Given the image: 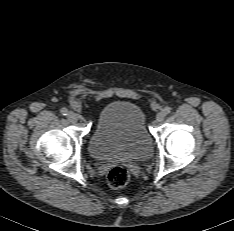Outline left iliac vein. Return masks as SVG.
<instances>
[{"mask_svg": "<svg viewBox=\"0 0 234 231\" xmlns=\"http://www.w3.org/2000/svg\"><path fill=\"white\" fill-rule=\"evenodd\" d=\"M166 114L164 113V111H160L159 113H157L156 115V121L157 122H161L165 119Z\"/></svg>", "mask_w": 234, "mask_h": 231, "instance_id": "left-iliac-vein-1", "label": "left iliac vein"}]
</instances>
